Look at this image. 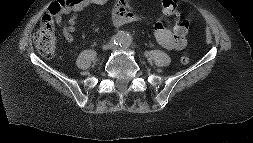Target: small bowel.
Listing matches in <instances>:
<instances>
[{
	"label": "small bowel",
	"instance_id": "obj_1",
	"mask_svg": "<svg viewBox=\"0 0 253 143\" xmlns=\"http://www.w3.org/2000/svg\"><path fill=\"white\" fill-rule=\"evenodd\" d=\"M111 0H76V3L72 6L63 7L60 12L55 15V22L64 39L71 43L73 41L74 32L76 30V24L78 15L88 6L105 5ZM131 0H114L111 8V22L115 27H121L123 25L140 21L144 19V16L131 10ZM176 5L173 0L162 1V11L165 16H176V25L174 32H172L164 22H155L152 26L153 35L156 41L165 49L172 51L182 50L186 44L185 36L177 33L176 26L181 20L177 9L172 10V6ZM69 16L66 20L65 17Z\"/></svg>",
	"mask_w": 253,
	"mask_h": 143
}]
</instances>
